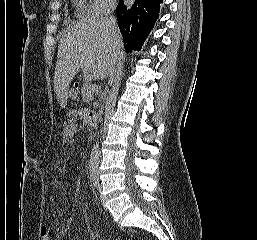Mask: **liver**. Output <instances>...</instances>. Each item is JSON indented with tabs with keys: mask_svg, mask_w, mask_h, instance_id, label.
Listing matches in <instances>:
<instances>
[{
	"mask_svg": "<svg viewBox=\"0 0 257 240\" xmlns=\"http://www.w3.org/2000/svg\"><path fill=\"white\" fill-rule=\"evenodd\" d=\"M122 41L116 47L106 30V19H86L66 30L58 46L54 90L61 107L68 100L74 76L83 70L96 79L106 78L113 70Z\"/></svg>",
	"mask_w": 257,
	"mask_h": 240,
	"instance_id": "liver-1",
	"label": "liver"
}]
</instances>
